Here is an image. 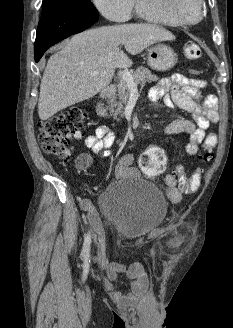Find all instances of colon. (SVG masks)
I'll use <instances>...</instances> for the list:
<instances>
[{"label": "colon", "instance_id": "5ec220e1", "mask_svg": "<svg viewBox=\"0 0 233 328\" xmlns=\"http://www.w3.org/2000/svg\"><path fill=\"white\" fill-rule=\"evenodd\" d=\"M184 54L188 59H197L201 55L199 46L189 41L184 45ZM87 114L81 108H72L61 114L52 116L40 124L39 142L42 150L62 160H69L72 156L71 142L83 134ZM216 136L209 133L204 141V148L200 155L201 161L209 163L213 160V150ZM166 166L164 151L156 146L148 147L140 157V167L144 174L156 176L161 174ZM202 170L196 169L191 176H187L182 167H177L175 176L180 190L185 194L196 192L201 184Z\"/></svg>", "mask_w": 233, "mask_h": 328}]
</instances>
